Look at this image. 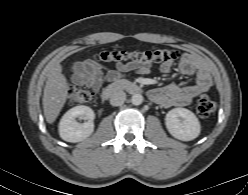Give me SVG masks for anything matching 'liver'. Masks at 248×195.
I'll return each instance as SVG.
<instances>
[{
  "label": "liver",
  "instance_id": "obj_1",
  "mask_svg": "<svg viewBox=\"0 0 248 195\" xmlns=\"http://www.w3.org/2000/svg\"><path fill=\"white\" fill-rule=\"evenodd\" d=\"M68 97V83L62 74V66L57 63L52 66L46 81L43 94L44 116L48 123H53L58 117Z\"/></svg>",
  "mask_w": 248,
  "mask_h": 195
}]
</instances>
